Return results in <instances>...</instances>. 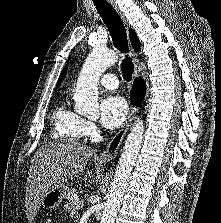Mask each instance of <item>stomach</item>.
Returning a JSON list of instances; mask_svg holds the SVG:
<instances>
[{"label": "stomach", "mask_w": 221, "mask_h": 223, "mask_svg": "<svg viewBox=\"0 0 221 223\" xmlns=\"http://www.w3.org/2000/svg\"><path fill=\"white\" fill-rule=\"evenodd\" d=\"M69 189L66 185L55 186L41 200V205L46 209L56 208L67 197Z\"/></svg>", "instance_id": "1"}]
</instances>
